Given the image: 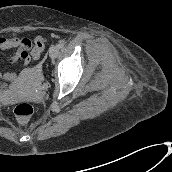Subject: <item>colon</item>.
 I'll list each match as a JSON object with an SVG mask.
<instances>
[{"label": "colon", "mask_w": 172, "mask_h": 172, "mask_svg": "<svg viewBox=\"0 0 172 172\" xmlns=\"http://www.w3.org/2000/svg\"><path fill=\"white\" fill-rule=\"evenodd\" d=\"M13 113L19 122L26 123L33 115L34 108L29 103L21 102L14 107Z\"/></svg>", "instance_id": "5ec220e1"}]
</instances>
